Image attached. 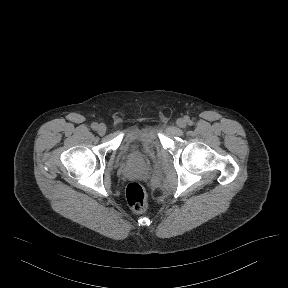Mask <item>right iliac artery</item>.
I'll return each instance as SVG.
<instances>
[{
  "label": "right iliac artery",
  "mask_w": 288,
  "mask_h": 288,
  "mask_svg": "<svg viewBox=\"0 0 288 288\" xmlns=\"http://www.w3.org/2000/svg\"><path fill=\"white\" fill-rule=\"evenodd\" d=\"M91 128H92L93 130H97L98 124H97L96 122L92 123Z\"/></svg>",
  "instance_id": "obj_1"
}]
</instances>
